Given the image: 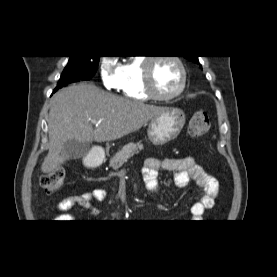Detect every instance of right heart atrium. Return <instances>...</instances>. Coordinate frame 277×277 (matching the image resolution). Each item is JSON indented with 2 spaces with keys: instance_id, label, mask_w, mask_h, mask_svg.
Listing matches in <instances>:
<instances>
[{
  "instance_id": "1",
  "label": "right heart atrium",
  "mask_w": 277,
  "mask_h": 277,
  "mask_svg": "<svg viewBox=\"0 0 277 277\" xmlns=\"http://www.w3.org/2000/svg\"><path fill=\"white\" fill-rule=\"evenodd\" d=\"M100 78L108 90H119L121 85L120 67L110 57H102L99 62Z\"/></svg>"
}]
</instances>
